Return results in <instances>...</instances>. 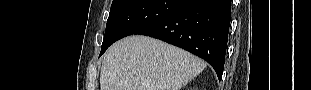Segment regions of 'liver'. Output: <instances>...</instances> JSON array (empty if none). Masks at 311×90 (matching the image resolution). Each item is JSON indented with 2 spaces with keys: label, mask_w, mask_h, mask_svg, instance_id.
I'll return each mask as SVG.
<instances>
[{
  "label": "liver",
  "mask_w": 311,
  "mask_h": 90,
  "mask_svg": "<svg viewBox=\"0 0 311 90\" xmlns=\"http://www.w3.org/2000/svg\"><path fill=\"white\" fill-rule=\"evenodd\" d=\"M205 67L203 60L178 47L129 36L105 53L100 90H179Z\"/></svg>",
  "instance_id": "1"
}]
</instances>
